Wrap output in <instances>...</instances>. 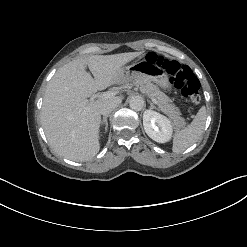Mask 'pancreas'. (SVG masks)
Listing matches in <instances>:
<instances>
[{"label": "pancreas", "instance_id": "cf45deb5", "mask_svg": "<svg viewBox=\"0 0 247 247\" xmlns=\"http://www.w3.org/2000/svg\"><path fill=\"white\" fill-rule=\"evenodd\" d=\"M134 82L140 85L149 97H153L157 100L159 109L172 118L177 127L185 125L184 119L180 116L181 113L179 109L175 107V105L172 104L171 99L160 91L157 86L151 83L150 80L142 77H135Z\"/></svg>", "mask_w": 247, "mask_h": 247}]
</instances>
